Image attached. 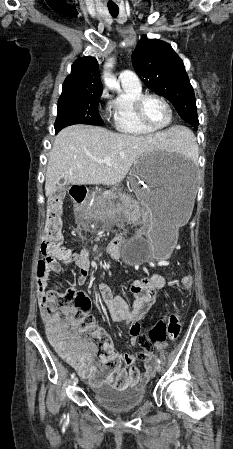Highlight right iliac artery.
Here are the masks:
<instances>
[{
  "instance_id": "right-iliac-artery-1",
  "label": "right iliac artery",
  "mask_w": 233,
  "mask_h": 449,
  "mask_svg": "<svg viewBox=\"0 0 233 449\" xmlns=\"http://www.w3.org/2000/svg\"><path fill=\"white\" fill-rule=\"evenodd\" d=\"M74 377H75V373H72V374H71V378H74Z\"/></svg>"
}]
</instances>
